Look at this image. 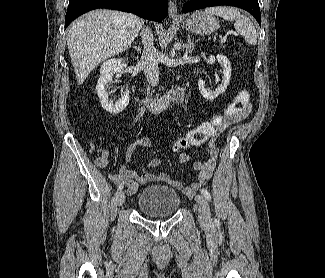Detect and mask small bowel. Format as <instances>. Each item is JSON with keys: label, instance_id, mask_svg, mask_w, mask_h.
Returning a JSON list of instances; mask_svg holds the SVG:
<instances>
[{"label": "small bowel", "instance_id": "1", "mask_svg": "<svg viewBox=\"0 0 325 278\" xmlns=\"http://www.w3.org/2000/svg\"><path fill=\"white\" fill-rule=\"evenodd\" d=\"M248 112H249V108L239 113L235 118L229 120V122H233L245 118ZM192 133H193V129L189 130L184 135V137H188ZM216 137L217 134L214 133L209 138L208 141L209 154L207 159L201 161H195L193 163V169L197 172V176L195 177L191 185L183 188L186 194L188 195L194 194L198 190V188L211 177L219 157V148L216 144ZM138 146L150 147V141L145 138H140L134 141L128 149L127 162L131 160L132 152ZM110 157H111L110 151L104 150L101 153V155L96 158L97 166L101 168L106 167L109 163ZM178 159L181 163H188L192 160V155L189 153H181ZM161 163L162 162L160 159H153L149 161L144 166L143 173L141 175H138L135 171L128 169L126 165H124L120 169L119 173L111 176V180L115 184L125 185L127 187V194L129 196L134 195L137 192L139 186L146 185L152 181H162L173 187L181 188L182 184L176 180L171 179L168 175L163 173H153L151 171V169L159 167Z\"/></svg>", "mask_w": 325, "mask_h": 278}]
</instances>
